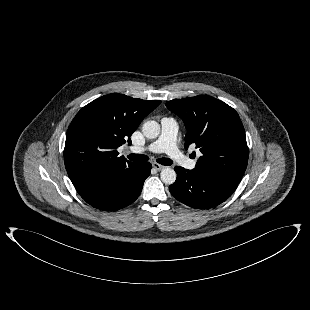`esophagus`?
<instances>
[{
	"mask_svg": "<svg viewBox=\"0 0 310 310\" xmlns=\"http://www.w3.org/2000/svg\"><path fill=\"white\" fill-rule=\"evenodd\" d=\"M152 166H153L154 169H156L158 171H161V170L166 168L164 165H161V164H158V163H153Z\"/></svg>",
	"mask_w": 310,
	"mask_h": 310,
	"instance_id": "34e87169",
	"label": "esophagus"
}]
</instances>
